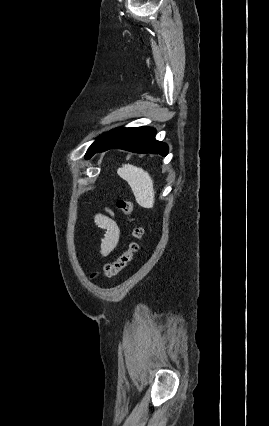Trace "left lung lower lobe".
Returning a JSON list of instances; mask_svg holds the SVG:
<instances>
[{"instance_id": "left-lung-lower-lobe-1", "label": "left lung lower lobe", "mask_w": 269, "mask_h": 426, "mask_svg": "<svg viewBox=\"0 0 269 426\" xmlns=\"http://www.w3.org/2000/svg\"><path fill=\"white\" fill-rule=\"evenodd\" d=\"M109 149H123L135 153H158L166 156L168 146L155 140V130L150 127L117 128L106 134L103 141L93 149L89 157ZM87 158V159H88Z\"/></svg>"}]
</instances>
